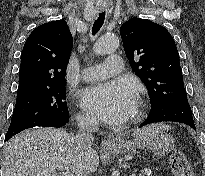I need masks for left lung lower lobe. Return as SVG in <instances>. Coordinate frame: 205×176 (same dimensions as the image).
<instances>
[{"label":"left lung lower lobe","mask_w":205,"mask_h":176,"mask_svg":"<svg viewBox=\"0 0 205 176\" xmlns=\"http://www.w3.org/2000/svg\"><path fill=\"white\" fill-rule=\"evenodd\" d=\"M162 121L184 123L196 130L187 94L179 95L174 101L166 105L151 108L148 118L139 127Z\"/></svg>","instance_id":"1"}]
</instances>
